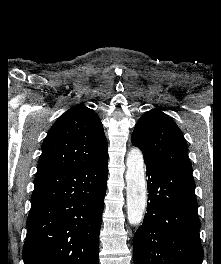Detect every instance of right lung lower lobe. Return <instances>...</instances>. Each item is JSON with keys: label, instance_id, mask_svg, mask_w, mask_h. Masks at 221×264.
I'll return each instance as SVG.
<instances>
[{"label": "right lung lower lobe", "instance_id": "1", "mask_svg": "<svg viewBox=\"0 0 221 264\" xmlns=\"http://www.w3.org/2000/svg\"><path fill=\"white\" fill-rule=\"evenodd\" d=\"M108 158L36 175L24 264H99Z\"/></svg>", "mask_w": 221, "mask_h": 264}]
</instances>
